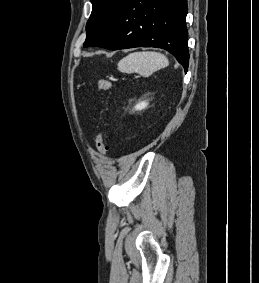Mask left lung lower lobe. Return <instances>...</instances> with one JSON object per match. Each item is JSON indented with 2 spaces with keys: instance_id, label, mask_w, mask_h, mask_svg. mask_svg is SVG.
<instances>
[{
  "instance_id": "1",
  "label": "left lung lower lobe",
  "mask_w": 259,
  "mask_h": 283,
  "mask_svg": "<svg viewBox=\"0 0 259 283\" xmlns=\"http://www.w3.org/2000/svg\"><path fill=\"white\" fill-rule=\"evenodd\" d=\"M187 0H126L107 33L92 47L168 50L187 72Z\"/></svg>"
}]
</instances>
